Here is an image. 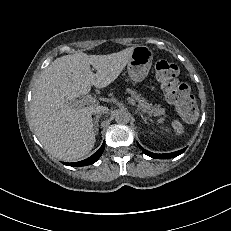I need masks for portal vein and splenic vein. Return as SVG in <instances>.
Segmentation results:
<instances>
[{
    "instance_id": "1",
    "label": "portal vein and splenic vein",
    "mask_w": 231,
    "mask_h": 231,
    "mask_svg": "<svg viewBox=\"0 0 231 231\" xmlns=\"http://www.w3.org/2000/svg\"><path fill=\"white\" fill-rule=\"evenodd\" d=\"M127 100L131 105L136 106L134 99H132L131 97H127ZM96 103H97L96 98L89 95L82 100L74 102V106L81 107L83 105H95Z\"/></svg>"
}]
</instances>
